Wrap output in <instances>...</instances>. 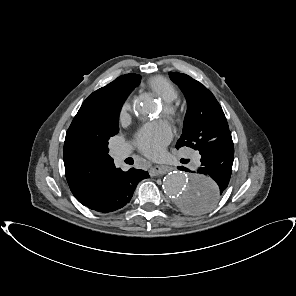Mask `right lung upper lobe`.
<instances>
[{
    "mask_svg": "<svg viewBox=\"0 0 296 296\" xmlns=\"http://www.w3.org/2000/svg\"><path fill=\"white\" fill-rule=\"evenodd\" d=\"M139 78L137 74L118 77L93 92L74 117L66 133L63 156L66 179L77 200L84 198L100 180L117 170L108 154L110 137L105 127L121 93Z\"/></svg>",
    "mask_w": 296,
    "mask_h": 296,
    "instance_id": "1",
    "label": "right lung upper lobe"
}]
</instances>
